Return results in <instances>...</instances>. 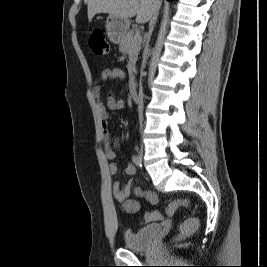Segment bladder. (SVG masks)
<instances>
[{
  "label": "bladder",
  "instance_id": "obj_1",
  "mask_svg": "<svg viewBox=\"0 0 267 267\" xmlns=\"http://www.w3.org/2000/svg\"><path fill=\"white\" fill-rule=\"evenodd\" d=\"M160 230L161 226L156 223L148 224L137 230H127L124 233L125 248L131 251L147 249L159 234Z\"/></svg>",
  "mask_w": 267,
  "mask_h": 267
}]
</instances>
